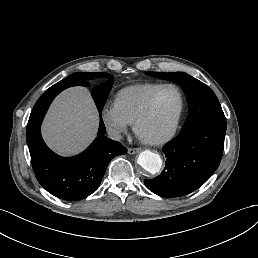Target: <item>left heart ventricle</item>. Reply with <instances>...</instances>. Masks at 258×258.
I'll list each match as a JSON object with an SVG mask.
<instances>
[{
    "mask_svg": "<svg viewBox=\"0 0 258 258\" xmlns=\"http://www.w3.org/2000/svg\"><path fill=\"white\" fill-rule=\"evenodd\" d=\"M178 107V95L175 90H160L153 99L148 115L140 123V132L151 138L167 134L174 125Z\"/></svg>",
    "mask_w": 258,
    "mask_h": 258,
    "instance_id": "b2bd125f",
    "label": "left heart ventricle"
}]
</instances>
